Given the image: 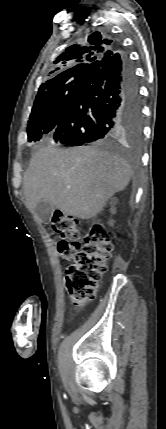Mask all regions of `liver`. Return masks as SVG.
Here are the masks:
<instances>
[{"label": "liver", "instance_id": "6515ba94", "mask_svg": "<svg viewBox=\"0 0 166 429\" xmlns=\"http://www.w3.org/2000/svg\"><path fill=\"white\" fill-rule=\"evenodd\" d=\"M132 170L121 157L98 146L40 148L24 174L26 206L49 202L66 215L95 217L130 182Z\"/></svg>", "mask_w": 166, "mask_h": 429}]
</instances>
